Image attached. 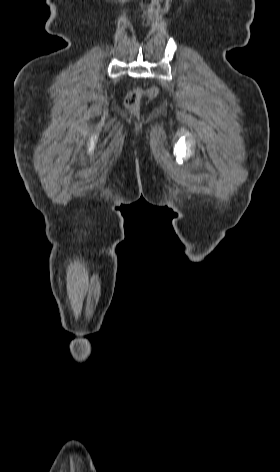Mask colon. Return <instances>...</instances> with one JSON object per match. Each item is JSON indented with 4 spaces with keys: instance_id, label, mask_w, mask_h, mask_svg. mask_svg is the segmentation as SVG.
<instances>
[{
    "instance_id": "1",
    "label": "colon",
    "mask_w": 280,
    "mask_h": 472,
    "mask_svg": "<svg viewBox=\"0 0 280 472\" xmlns=\"http://www.w3.org/2000/svg\"><path fill=\"white\" fill-rule=\"evenodd\" d=\"M157 94V88L151 87L147 90H142L139 88L133 89L128 92L125 97V106L131 112H137L139 108V103L142 96H146L148 98H154Z\"/></svg>"
}]
</instances>
